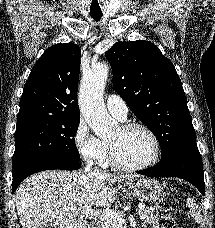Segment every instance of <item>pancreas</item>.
Segmentation results:
<instances>
[{
	"instance_id": "obj_1",
	"label": "pancreas",
	"mask_w": 215,
	"mask_h": 228,
	"mask_svg": "<svg viewBox=\"0 0 215 228\" xmlns=\"http://www.w3.org/2000/svg\"><path fill=\"white\" fill-rule=\"evenodd\" d=\"M139 218L142 222L140 228H145L147 224H155L156 218L153 216V212L149 210V208H145V210H140Z\"/></svg>"
}]
</instances>
